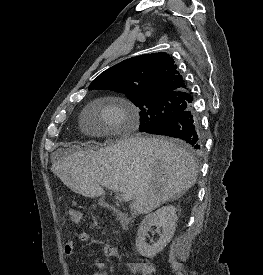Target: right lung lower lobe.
Returning a JSON list of instances; mask_svg holds the SVG:
<instances>
[{
  "label": "right lung lower lobe",
  "mask_w": 263,
  "mask_h": 275,
  "mask_svg": "<svg viewBox=\"0 0 263 275\" xmlns=\"http://www.w3.org/2000/svg\"><path fill=\"white\" fill-rule=\"evenodd\" d=\"M147 133L181 139L195 150H200L203 144L200 119L193 107L173 116Z\"/></svg>",
  "instance_id": "1"
}]
</instances>
